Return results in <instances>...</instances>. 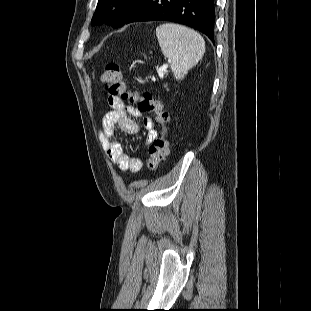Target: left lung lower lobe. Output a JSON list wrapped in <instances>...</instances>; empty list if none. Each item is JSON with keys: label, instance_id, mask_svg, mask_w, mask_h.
Here are the masks:
<instances>
[{"label": "left lung lower lobe", "instance_id": "left-lung-lower-lobe-1", "mask_svg": "<svg viewBox=\"0 0 311 311\" xmlns=\"http://www.w3.org/2000/svg\"><path fill=\"white\" fill-rule=\"evenodd\" d=\"M171 21L192 27L214 39V0H134L118 27L132 22Z\"/></svg>", "mask_w": 311, "mask_h": 311}]
</instances>
